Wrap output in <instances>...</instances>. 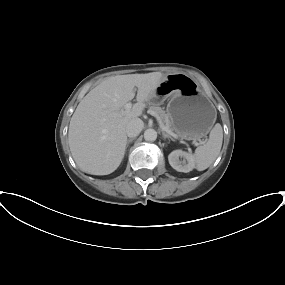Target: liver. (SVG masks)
<instances>
[{"label": "liver", "mask_w": 285, "mask_h": 285, "mask_svg": "<svg viewBox=\"0 0 285 285\" xmlns=\"http://www.w3.org/2000/svg\"><path fill=\"white\" fill-rule=\"evenodd\" d=\"M161 72L108 77L78 104L68 131L69 147L79 168L93 175H108L120 165L126 149L127 124L138 118L163 80ZM127 112L124 105L135 97Z\"/></svg>", "instance_id": "1"}]
</instances>
